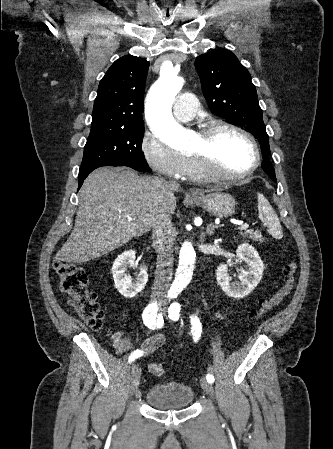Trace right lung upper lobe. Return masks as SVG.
Returning a JSON list of instances; mask_svg holds the SVG:
<instances>
[{
  "label": "right lung upper lobe",
  "mask_w": 333,
  "mask_h": 449,
  "mask_svg": "<svg viewBox=\"0 0 333 449\" xmlns=\"http://www.w3.org/2000/svg\"><path fill=\"white\" fill-rule=\"evenodd\" d=\"M149 62L128 55L108 69L94 102L91 129L143 125V95Z\"/></svg>",
  "instance_id": "obj_1"
}]
</instances>
